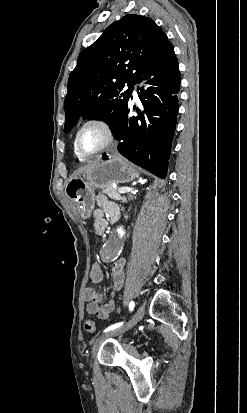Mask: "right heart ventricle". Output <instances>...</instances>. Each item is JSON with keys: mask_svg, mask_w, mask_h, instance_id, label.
Returning a JSON list of instances; mask_svg holds the SVG:
<instances>
[{"mask_svg": "<svg viewBox=\"0 0 247 413\" xmlns=\"http://www.w3.org/2000/svg\"><path fill=\"white\" fill-rule=\"evenodd\" d=\"M74 151H75V155L76 157L80 160V161H85V158H83L81 155H79V153L77 152L75 145H74Z\"/></svg>", "mask_w": 247, "mask_h": 413, "instance_id": "1", "label": "right heart ventricle"}]
</instances>
